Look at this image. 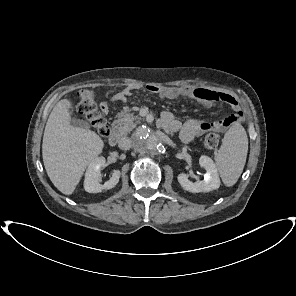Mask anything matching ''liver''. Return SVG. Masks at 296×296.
Masks as SVG:
<instances>
[{
    "label": "liver",
    "instance_id": "6515ba94",
    "mask_svg": "<svg viewBox=\"0 0 296 296\" xmlns=\"http://www.w3.org/2000/svg\"><path fill=\"white\" fill-rule=\"evenodd\" d=\"M73 105L60 100L47 120L42 155L46 172L54 186L71 195L86 169L102 152L104 142L89 129L71 125Z\"/></svg>",
    "mask_w": 296,
    "mask_h": 296
}]
</instances>
